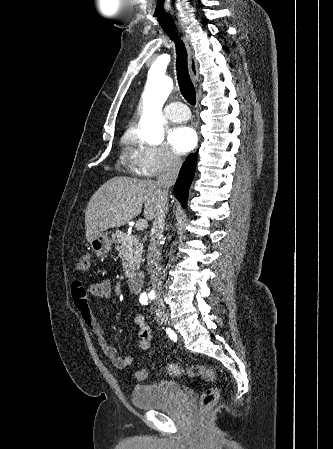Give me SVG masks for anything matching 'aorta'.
<instances>
[{
	"label": "aorta",
	"instance_id": "aorta-1",
	"mask_svg": "<svg viewBox=\"0 0 333 449\" xmlns=\"http://www.w3.org/2000/svg\"><path fill=\"white\" fill-rule=\"evenodd\" d=\"M173 89V83L163 69L153 64L143 93V114L139 136L150 143L159 144L164 139L162 108Z\"/></svg>",
	"mask_w": 333,
	"mask_h": 449
}]
</instances>
